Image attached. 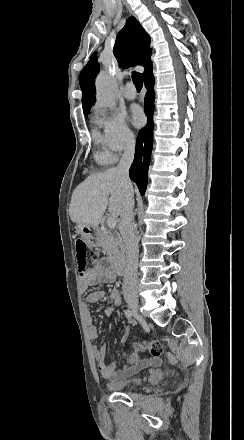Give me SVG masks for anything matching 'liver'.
<instances>
[{"mask_svg":"<svg viewBox=\"0 0 244 440\" xmlns=\"http://www.w3.org/2000/svg\"><path fill=\"white\" fill-rule=\"evenodd\" d=\"M125 196L116 168L91 174L75 188L69 216L75 224L99 226L107 208L112 218L120 216Z\"/></svg>","mask_w":244,"mask_h":440,"instance_id":"1","label":"liver"}]
</instances>
